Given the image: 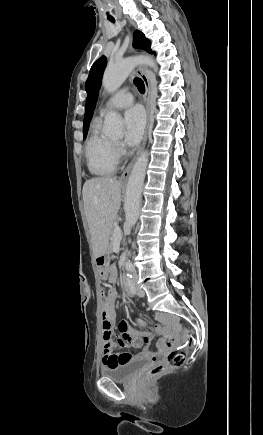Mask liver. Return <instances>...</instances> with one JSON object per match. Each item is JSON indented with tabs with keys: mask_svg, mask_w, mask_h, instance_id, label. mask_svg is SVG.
<instances>
[{
	"mask_svg": "<svg viewBox=\"0 0 263 435\" xmlns=\"http://www.w3.org/2000/svg\"><path fill=\"white\" fill-rule=\"evenodd\" d=\"M121 182L116 178H92L83 186V202L94 255L103 254L121 205Z\"/></svg>",
	"mask_w": 263,
	"mask_h": 435,
	"instance_id": "obj_1",
	"label": "liver"
}]
</instances>
